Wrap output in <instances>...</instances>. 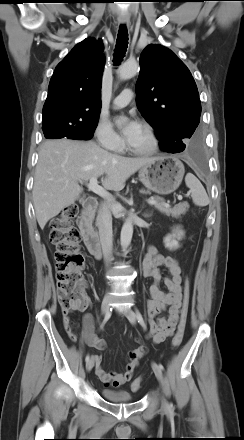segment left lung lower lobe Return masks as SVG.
Masks as SVG:
<instances>
[{"instance_id":"left-lung-lower-lobe-1","label":"left lung lower lobe","mask_w":244,"mask_h":440,"mask_svg":"<svg viewBox=\"0 0 244 440\" xmlns=\"http://www.w3.org/2000/svg\"><path fill=\"white\" fill-rule=\"evenodd\" d=\"M186 148V147H185ZM185 150V149H184ZM183 149H182V151H184ZM182 151H180V152H182ZM172 153V152H171ZM175 153H179V152H175ZM200 166L201 167H203V164H202V162H200Z\"/></svg>"}]
</instances>
